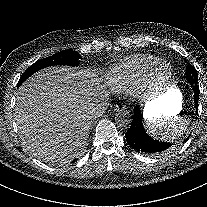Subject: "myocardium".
Returning <instances> with one entry per match:
<instances>
[{
	"mask_svg": "<svg viewBox=\"0 0 207 207\" xmlns=\"http://www.w3.org/2000/svg\"><path fill=\"white\" fill-rule=\"evenodd\" d=\"M168 67L169 71L161 76L163 68ZM174 76V68L168 61L158 63L149 74L148 83L151 88H164L169 85Z\"/></svg>",
	"mask_w": 207,
	"mask_h": 207,
	"instance_id": "f54148a6",
	"label": "myocardium"
}]
</instances>
